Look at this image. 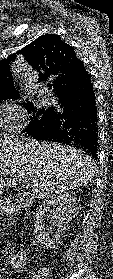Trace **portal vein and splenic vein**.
<instances>
[{"label":"portal vein and splenic vein","instance_id":"obj_1","mask_svg":"<svg viewBox=\"0 0 113 279\" xmlns=\"http://www.w3.org/2000/svg\"><path fill=\"white\" fill-rule=\"evenodd\" d=\"M6 174L7 175H10V176H13V174L9 171H6ZM19 182L22 184V185H25V186H29V181L27 178L23 177V176H20L19 177Z\"/></svg>","mask_w":113,"mask_h":279}]
</instances>
